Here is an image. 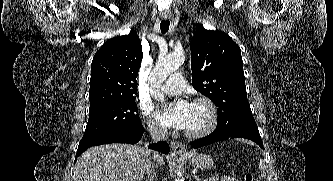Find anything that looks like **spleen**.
<instances>
[{
    "label": "spleen",
    "instance_id": "1",
    "mask_svg": "<svg viewBox=\"0 0 333 181\" xmlns=\"http://www.w3.org/2000/svg\"><path fill=\"white\" fill-rule=\"evenodd\" d=\"M259 168L261 170V178H265L266 177V172H265L266 165L263 160L259 161Z\"/></svg>",
    "mask_w": 333,
    "mask_h": 181
}]
</instances>
